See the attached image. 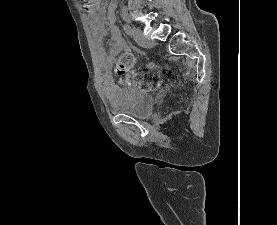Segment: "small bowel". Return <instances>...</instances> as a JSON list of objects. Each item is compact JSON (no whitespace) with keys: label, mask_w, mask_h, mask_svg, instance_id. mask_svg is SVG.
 <instances>
[{"label":"small bowel","mask_w":277,"mask_h":225,"mask_svg":"<svg viewBox=\"0 0 277 225\" xmlns=\"http://www.w3.org/2000/svg\"><path fill=\"white\" fill-rule=\"evenodd\" d=\"M116 5V1H112L106 13V18L109 21V29L111 33L110 50L107 58L101 44L102 39L106 34L103 23L104 12L100 10L98 13H96L94 9L89 10V26L95 43L97 55L102 63H106L107 61L113 59L120 51L128 50L127 45L125 44L117 26L115 25ZM103 91L106 98L110 102H114L120 94V89L113 84L110 73L107 70L103 74Z\"/></svg>","instance_id":"1"}]
</instances>
